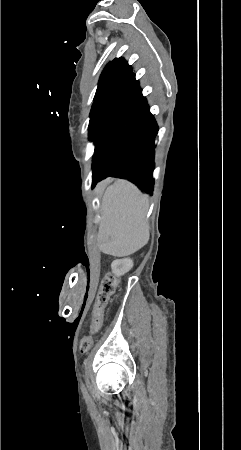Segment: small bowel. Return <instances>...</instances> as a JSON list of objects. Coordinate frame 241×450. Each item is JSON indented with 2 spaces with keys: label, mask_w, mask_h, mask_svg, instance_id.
I'll use <instances>...</instances> for the list:
<instances>
[{
  "label": "small bowel",
  "mask_w": 241,
  "mask_h": 450,
  "mask_svg": "<svg viewBox=\"0 0 241 450\" xmlns=\"http://www.w3.org/2000/svg\"><path fill=\"white\" fill-rule=\"evenodd\" d=\"M92 331L96 332V331H98V330H92Z\"/></svg>",
  "instance_id": "obj_1"
}]
</instances>
